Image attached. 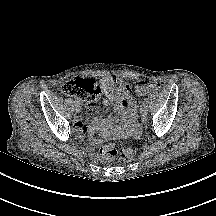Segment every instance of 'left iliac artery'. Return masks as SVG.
<instances>
[{
	"label": "left iliac artery",
	"mask_w": 216,
	"mask_h": 216,
	"mask_svg": "<svg viewBox=\"0 0 216 216\" xmlns=\"http://www.w3.org/2000/svg\"><path fill=\"white\" fill-rule=\"evenodd\" d=\"M142 102L145 104L146 102H148V100L146 98H144V100Z\"/></svg>",
	"instance_id": "1"
}]
</instances>
